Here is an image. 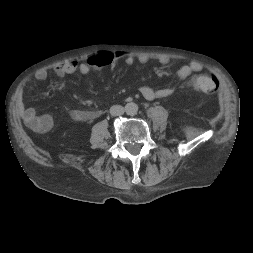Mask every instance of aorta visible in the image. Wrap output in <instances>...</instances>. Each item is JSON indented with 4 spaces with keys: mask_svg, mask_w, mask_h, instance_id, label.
I'll list each match as a JSON object with an SVG mask.
<instances>
[{
    "mask_svg": "<svg viewBox=\"0 0 253 253\" xmlns=\"http://www.w3.org/2000/svg\"><path fill=\"white\" fill-rule=\"evenodd\" d=\"M125 112L129 115H134L138 112V105L134 102L125 105Z\"/></svg>",
    "mask_w": 253,
    "mask_h": 253,
    "instance_id": "1",
    "label": "aorta"
}]
</instances>
